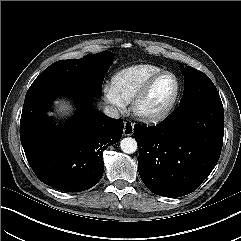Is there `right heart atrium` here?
Wrapping results in <instances>:
<instances>
[{
	"label": "right heart atrium",
	"instance_id": "right-heart-atrium-1",
	"mask_svg": "<svg viewBox=\"0 0 241 241\" xmlns=\"http://www.w3.org/2000/svg\"><path fill=\"white\" fill-rule=\"evenodd\" d=\"M104 100L117 110H122L125 107L124 101L120 98L111 84H106L103 87Z\"/></svg>",
	"mask_w": 241,
	"mask_h": 241
}]
</instances>
